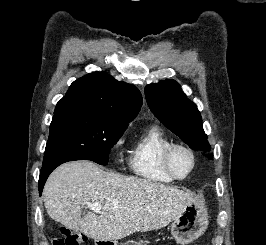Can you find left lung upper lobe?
Instances as JSON below:
<instances>
[{
  "label": "left lung upper lobe",
  "instance_id": "5c2ea615",
  "mask_svg": "<svg viewBox=\"0 0 266 245\" xmlns=\"http://www.w3.org/2000/svg\"><path fill=\"white\" fill-rule=\"evenodd\" d=\"M147 103L154 115L193 150L206 155L211 147L196 105L186 98L174 80L145 87Z\"/></svg>",
  "mask_w": 266,
  "mask_h": 245
}]
</instances>
